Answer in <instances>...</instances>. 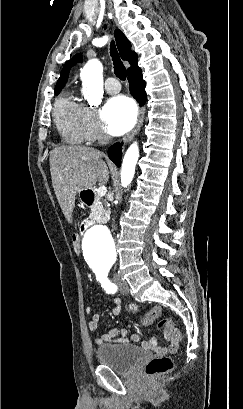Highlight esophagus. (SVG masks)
<instances>
[{
  "mask_svg": "<svg viewBox=\"0 0 243 409\" xmlns=\"http://www.w3.org/2000/svg\"><path fill=\"white\" fill-rule=\"evenodd\" d=\"M144 114L145 108L141 107L138 113V118L135 127L122 138L124 142L131 140L140 131L144 121Z\"/></svg>",
  "mask_w": 243,
  "mask_h": 409,
  "instance_id": "esophagus-1",
  "label": "esophagus"
}]
</instances>
